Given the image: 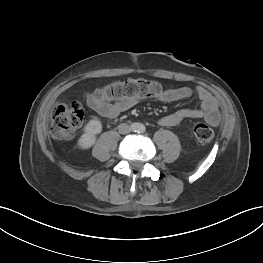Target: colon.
<instances>
[{
    "instance_id": "obj_1",
    "label": "colon",
    "mask_w": 263,
    "mask_h": 263,
    "mask_svg": "<svg viewBox=\"0 0 263 263\" xmlns=\"http://www.w3.org/2000/svg\"><path fill=\"white\" fill-rule=\"evenodd\" d=\"M165 92L163 86L156 81L129 78L107 85L98 94L108 100L145 99L159 97ZM87 117L86 107L73 102L69 105L56 106L52 111L51 133L56 139H70ZM196 139L201 143H209L214 136L213 130L205 123H196L193 128Z\"/></svg>"
}]
</instances>
